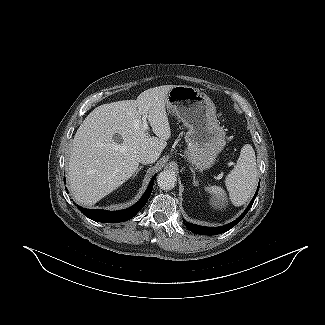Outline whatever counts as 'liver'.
Instances as JSON below:
<instances>
[{"label":"liver","mask_w":325,"mask_h":325,"mask_svg":"<svg viewBox=\"0 0 325 325\" xmlns=\"http://www.w3.org/2000/svg\"><path fill=\"white\" fill-rule=\"evenodd\" d=\"M174 86L147 89L136 100L100 105L85 118L74 136L68 164L69 188L78 203L92 206L116 190L136 172L144 151L160 155L171 136L166 98ZM141 116L157 137L143 130Z\"/></svg>","instance_id":"liver-1"}]
</instances>
